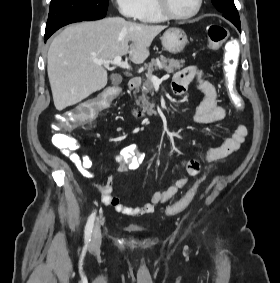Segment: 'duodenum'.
Returning <instances> with one entry per match:
<instances>
[{"mask_svg":"<svg viewBox=\"0 0 280 283\" xmlns=\"http://www.w3.org/2000/svg\"><path fill=\"white\" fill-rule=\"evenodd\" d=\"M141 82H142V80H141L140 77H137V76L136 77H132L129 80V83H128L129 91L130 92L135 91L141 85ZM131 110L137 116H143V113L140 110H138L136 107L132 106Z\"/></svg>","mask_w":280,"mask_h":283,"instance_id":"1","label":"duodenum"}]
</instances>
